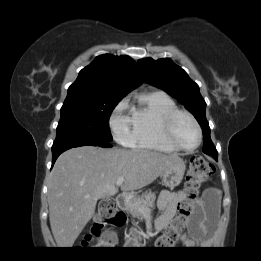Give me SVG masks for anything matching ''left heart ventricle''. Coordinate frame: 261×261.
<instances>
[{
	"instance_id": "1",
	"label": "left heart ventricle",
	"mask_w": 261,
	"mask_h": 261,
	"mask_svg": "<svg viewBox=\"0 0 261 261\" xmlns=\"http://www.w3.org/2000/svg\"><path fill=\"white\" fill-rule=\"evenodd\" d=\"M177 141L184 147L191 148L198 142V132L193 122L186 116H181L175 125Z\"/></svg>"
}]
</instances>
